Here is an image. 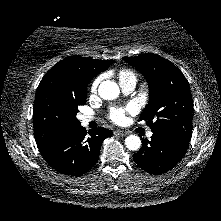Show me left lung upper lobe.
<instances>
[{
	"label": "left lung upper lobe",
	"mask_w": 221,
	"mask_h": 221,
	"mask_svg": "<svg viewBox=\"0 0 221 221\" xmlns=\"http://www.w3.org/2000/svg\"><path fill=\"white\" fill-rule=\"evenodd\" d=\"M123 60L138 69L148 82L150 100L140 120L147 121L154 133L190 141L193 101L183 73L157 54L124 57Z\"/></svg>",
	"instance_id": "5c2ea615"
}]
</instances>
